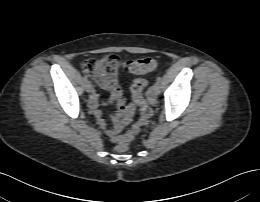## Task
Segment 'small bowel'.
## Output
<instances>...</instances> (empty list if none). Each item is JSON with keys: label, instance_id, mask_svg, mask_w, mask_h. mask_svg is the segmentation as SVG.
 I'll use <instances>...</instances> for the list:
<instances>
[{"label": "small bowel", "instance_id": "small-bowel-1", "mask_svg": "<svg viewBox=\"0 0 260 202\" xmlns=\"http://www.w3.org/2000/svg\"><path fill=\"white\" fill-rule=\"evenodd\" d=\"M104 90L109 91V102H116L117 109L112 117L111 126H107L100 112V102L97 92H94L89 100V109L95 116L97 124L103 128L105 134L113 141H117L118 135L127 127L135 114L136 105L134 103H127L124 97V90L117 84L116 80L101 84Z\"/></svg>", "mask_w": 260, "mask_h": 202}]
</instances>
